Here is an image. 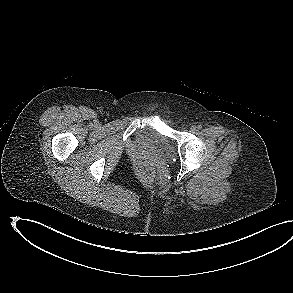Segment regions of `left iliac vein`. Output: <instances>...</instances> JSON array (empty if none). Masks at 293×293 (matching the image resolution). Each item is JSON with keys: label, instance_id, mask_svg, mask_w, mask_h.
Returning <instances> with one entry per match:
<instances>
[{"label": "left iliac vein", "instance_id": "left-iliac-vein-1", "mask_svg": "<svg viewBox=\"0 0 293 293\" xmlns=\"http://www.w3.org/2000/svg\"><path fill=\"white\" fill-rule=\"evenodd\" d=\"M196 130H197V127L196 126L193 125V126L190 127V131L191 132H196Z\"/></svg>", "mask_w": 293, "mask_h": 293}]
</instances>
